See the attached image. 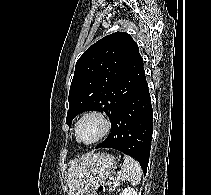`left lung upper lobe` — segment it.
<instances>
[{"mask_svg": "<svg viewBox=\"0 0 211 195\" xmlns=\"http://www.w3.org/2000/svg\"><path fill=\"white\" fill-rule=\"evenodd\" d=\"M145 77L137 43L124 32L112 33L78 59L69 91L66 122L87 110L104 111L110 120Z\"/></svg>", "mask_w": 211, "mask_h": 195, "instance_id": "obj_1", "label": "left lung upper lobe"}]
</instances>
